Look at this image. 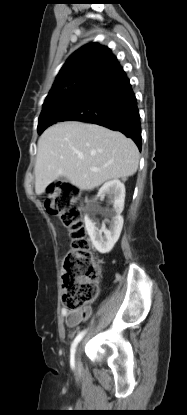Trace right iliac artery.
<instances>
[{"instance_id":"82829eb1","label":"right iliac artery","mask_w":187,"mask_h":415,"mask_svg":"<svg viewBox=\"0 0 187 415\" xmlns=\"http://www.w3.org/2000/svg\"><path fill=\"white\" fill-rule=\"evenodd\" d=\"M84 334H85V331L80 332L72 343V346H71V365L72 366L74 365V355H75L76 347L78 343L81 341V339L83 338Z\"/></svg>"}]
</instances>
